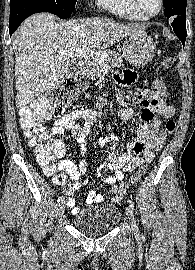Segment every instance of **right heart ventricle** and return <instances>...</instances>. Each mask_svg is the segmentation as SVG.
<instances>
[{"instance_id":"obj_1","label":"right heart ventricle","mask_w":195,"mask_h":270,"mask_svg":"<svg viewBox=\"0 0 195 270\" xmlns=\"http://www.w3.org/2000/svg\"><path fill=\"white\" fill-rule=\"evenodd\" d=\"M99 4L108 12L129 20H145L130 5L129 0H98Z\"/></svg>"}]
</instances>
